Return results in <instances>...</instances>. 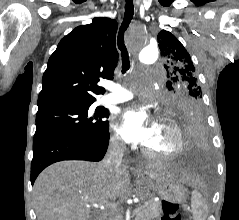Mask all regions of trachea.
Returning <instances> with one entry per match:
<instances>
[{"label": "trachea", "instance_id": "obj_1", "mask_svg": "<svg viewBox=\"0 0 239 220\" xmlns=\"http://www.w3.org/2000/svg\"><path fill=\"white\" fill-rule=\"evenodd\" d=\"M133 15H134L133 0H127L125 5L124 20L121 24V27L118 33V48L121 51V57H122V73H125L130 68L129 55H128L127 48L124 44V33L127 30L133 18Z\"/></svg>", "mask_w": 239, "mask_h": 220}]
</instances>
